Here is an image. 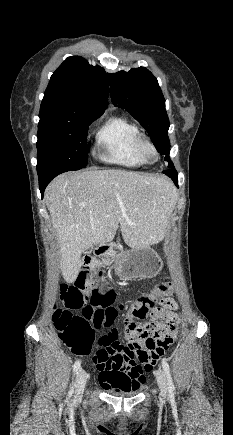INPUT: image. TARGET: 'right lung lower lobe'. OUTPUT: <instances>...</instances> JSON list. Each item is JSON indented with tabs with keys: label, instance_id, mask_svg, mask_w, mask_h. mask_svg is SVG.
Segmentation results:
<instances>
[{
	"label": "right lung lower lobe",
	"instance_id": "right-lung-lower-lobe-1",
	"mask_svg": "<svg viewBox=\"0 0 233 435\" xmlns=\"http://www.w3.org/2000/svg\"><path fill=\"white\" fill-rule=\"evenodd\" d=\"M62 169H56L47 173L38 174L39 176V188L41 195L43 196L44 190L46 186L50 183V181L56 177L57 175L63 173Z\"/></svg>",
	"mask_w": 233,
	"mask_h": 435
}]
</instances>
